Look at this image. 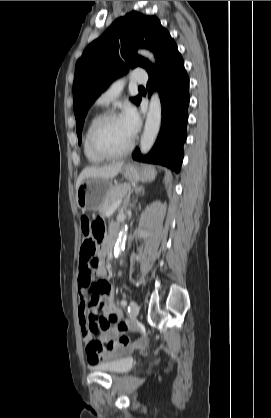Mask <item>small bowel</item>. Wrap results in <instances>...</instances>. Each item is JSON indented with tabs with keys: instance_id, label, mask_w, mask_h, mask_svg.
Returning a JSON list of instances; mask_svg holds the SVG:
<instances>
[{
	"instance_id": "c3829d8e",
	"label": "small bowel",
	"mask_w": 271,
	"mask_h": 418,
	"mask_svg": "<svg viewBox=\"0 0 271 418\" xmlns=\"http://www.w3.org/2000/svg\"><path fill=\"white\" fill-rule=\"evenodd\" d=\"M114 229H116L115 226L111 228V231ZM105 247L106 243L102 242L95 254V242L83 237L80 239V249L76 251V260L80 262L79 323L90 365H96L132 348L130 342L124 344L120 341L125 331L119 329L122 323V313L114 302L113 288L104 280L107 275L105 257L102 256ZM88 262L89 266H85ZM91 275H96L101 280L93 283ZM98 309L102 311L101 316L97 313ZM93 327L98 328L97 335L93 334ZM93 342H97L99 347L93 349L91 347Z\"/></svg>"
}]
</instances>
